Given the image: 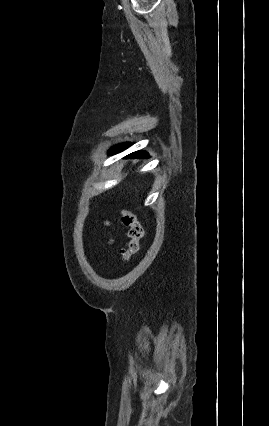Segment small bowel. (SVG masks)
Here are the masks:
<instances>
[{"mask_svg":"<svg viewBox=\"0 0 269 426\" xmlns=\"http://www.w3.org/2000/svg\"><path fill=\"white\" fill-rule=\"evenodd\" d=\"M104 225L106 227H111V224L109 222H104ZM114 243V237L110 236L109 239L107 240V245L111 246Z\"/></svg>","mask_w":269,"mask_h":426,"instance_id":"small-bowel-1","label":"small bowel"}]
</instances>
